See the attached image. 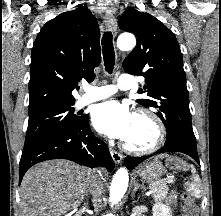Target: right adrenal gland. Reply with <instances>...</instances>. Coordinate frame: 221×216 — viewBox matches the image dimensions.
Here are the masks:
<instances>
[{"label": "right adrenal gland", "instance_id": "right-adrenal-gland-1", "mask_svg": "<svg viewBox=\"0 0 221 216\" xmlns=\"http://www.w3.org/2000/svg\"><path fill=\"white\" fill-rule=\"evenodd\" d=\"M89 191H90V188L88 187V189H87V191H86V193H85V197H86V198H87L88 195H89Z\"/></svg>", "mask_w": 221, "mask_h": 216}]
</instances>
